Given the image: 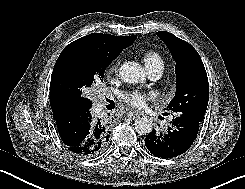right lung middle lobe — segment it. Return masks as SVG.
Instances as JSON below:
<instances>
[{
	"label": "right lung middle lobe",
	"instance_id": "1",
	"mask_svg": "<svg viewBox=\"0 0 245 189\" xmlns=\"http://www.w3.org/2000/svg\"><path fill=\"white\" fill-rule=\"evenodd\" d=\"M109 64L92 54H77L62 62L54 78L61 104L69 111L92 105L86 92L97 81H102Z\"/></svg>",
	"mask_w": 245,
	"mask_h": 189
}]
</instances>
